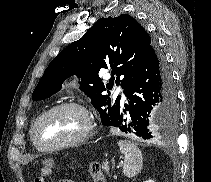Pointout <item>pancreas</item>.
Segmentation results:
<instances>
[{
    "instance_id": "pancreas-1",
    "label": "pancreas",
    "mask_w": 211,
    "mask_h": 182,
    "mask_svg": "<svg viewBox=\"0 0 211 182\" xmlns=\"http://www.w3.org/2000/svg\"><path fill=\"white\" fill-rule=\"evenodd\" d=\"M102 169H103V170H105V171H106V173H108V174H109V172H110V168H109V166L107 165V163H103V165H102Z\"/></svg>"
}]
</instances>
